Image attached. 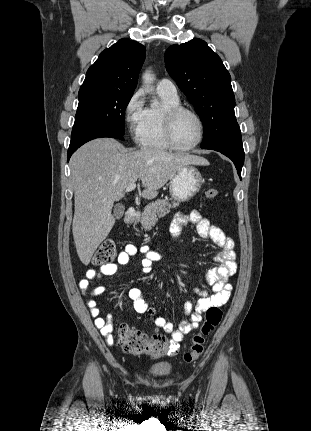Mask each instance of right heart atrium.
I'll list each match as a JSON object with an SVG mask.
<instances>
[{
	"mask_svg": "<svg viewBox=\"0 0 311 431\" xmlns=\"http://www.w3.org/2000/svg\"><path fill=\"white\" fill-rule=\"evenodd\" d=\"M144 95L141 90L133 92L127 99L124 109L123 117L127 130L133 139H137L139 126L144 118Z\"/></svg>",
	"mask_w": 311,
	"mask_h": 431,
	"instance_id": "d8ad5b80",
	"label": "right heart atrium"
}]
</instances>
